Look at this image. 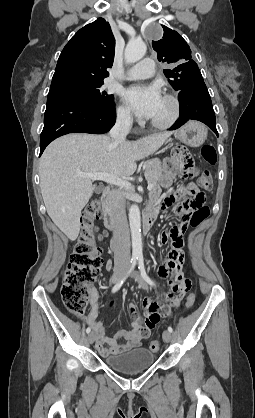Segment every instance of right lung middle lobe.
I'll use <instances>...</instances> for the list:
<instances>
[{
  "mask_svg": "<svg viewBox=\"0 0 255 418\" xmlns=\"http://www.w3.org/2000/svg\"><path fill=\"white\" fill-rule=\"evenodd\" d=\"M104 82H68L50 87L48 98L73 97L96 105L103 110H111L114 107L113 95H107L100 88Z\"/></svg>",
  "mask_w": 255,
  "mask_h": 418,
  "instance_id": "right-lung-middle-lobe-1",
  "label": "right lung middle lobe"
}]
</instances>
